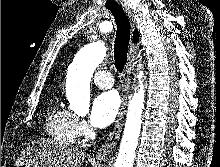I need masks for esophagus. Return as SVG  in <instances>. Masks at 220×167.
<instances>
[{
  "mask_svg": "<svg viewBox=\"0 0 220 167\" xmlns=\"http://www.w3.org/2000/svg\"><path fill=\"white\" fill-rule=\"evenodd\" d=\"M123 8H124L128 18H129V20H130L132 29H134L135 20H134V16H133L131 8L129 6H126V5H124ZM137 51H138V45L134 44V43H131L127 63L125 65V69H124V72H123L125 85H124V88H123L122 93H121L120 110H119V113H118L116 123H115V126H114L113 130L111 131V133L107 137L106 141L102 144V146L100 147V149L98 150V152L96 154L97 159L101 160V159H105L108 156H110V154L115 149V147L117 145V142L120 138L121 131H122V128H123L124 116H125V113H126V107H127V104H128L129 77H130V73H131L132 62L135 59Z\"/></svg>",
  "mask_w": 220,
  "mask_h": 167,
  "instance_id": "34e87169",
  "label": "esophagus"
}]
</instances>
